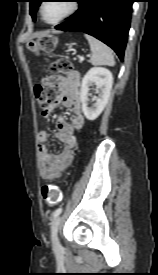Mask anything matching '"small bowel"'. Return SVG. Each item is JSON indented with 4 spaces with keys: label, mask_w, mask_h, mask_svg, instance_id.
I'll return each mask as SVG.
<instances>
[{
    "label": "small bowel",
    "mask_w": 158,
    "mask_h": 275,
    "mask_svg": "<svg viewBox=\"0 0 158 275\" xmlns=\"http://www.w3.org/2000/svg\"><path fill=\"white\" fill-rule=\"evenodd\" d=\"M45 84L51 88H58L59 92L52 106L63 105L72 111V119L68 122L63 116H58L56 123L58 128L57 137L63 143V150L58 154H51L48 149L49 134L40 131L37 136L39 144V173L43 179H59L73 159V151L77 143L76 133L82 129L85 118L81 107L79 72L73 70L67 75H53L45 79ZM49 113L42 114L44 118Z\"/></svg>",
    "instance_id": "small-bowel-1"
}]
</instances>
